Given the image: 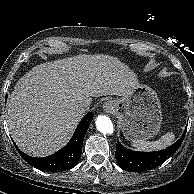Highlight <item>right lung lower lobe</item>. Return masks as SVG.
Returning <instances> with one entry per match:
<instances>
[{"instance_id": "right-lung-lower-lobe-1", "label": "right lung lower lobe", "mask_w": 194, "mask_h": 194, "mask_svg": "<svg viewBox=\"0 0 194 194\" xmlns=\"http://www.w3.org/2000/svg\"><path fill=\"white\" fill-rule=\"evenodd\" d=\"M92 119L93 113L89 112L79 123L69 143L61 150L48 157H31L23 152H20L18 147L15 144L14 145L20 153L21 157L28 164L42 171L55 172L71 169L77 164L81 156L84 136Z\"/></svg>"}]
</instances>
